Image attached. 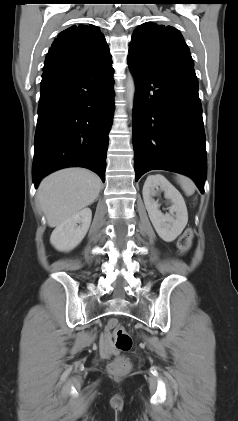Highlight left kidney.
<instances>
[{
    "mask_svg": "<svg viewBox=\"0 0 238 421\" xmlns=\"http://www.w3.org/2000/svg\"><path fill=\"white\" fill-rule=\"evenodd\" d=\"M164 191L165 197L172 202L170 214L159 210L158 201L153 198L157 191ZM143 200L149 218L157 234L166 242L174 241L188 222V212L180 192L162 175L148 176L143 186Z\"/></svg>",
    "mask_w": 238,
    "mask_h": 421,
    "instance_id": "left-kidney-1",
    "label": "left kidney"
}]
</instances>
